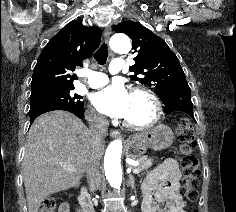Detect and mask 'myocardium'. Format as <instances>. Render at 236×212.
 Returning <instances> with one entry per match:
<instances>
[{
	"label": "myocardium",
	"instance_id": "f54148a6",
	"mask_svg": "<svg viewBox=\"0 0 236 212\" xmlns=\"http://www.w3.org/2000/svg\"><path fill=\"white\" fill-rule=\"evenodd\" d=\"M131 95H141L145 97L151 103L153 107V113L148 121L140 124L132 123L125 119L123 122L124 126L127 129L136 132L145 131L152 128L159 121L162 115L163 109L160 99L152 91L141 86L134 87L131 90Z\"/></svg>",
	"mask_w": 236,
	"mask_h": 212
}]
</instances>
